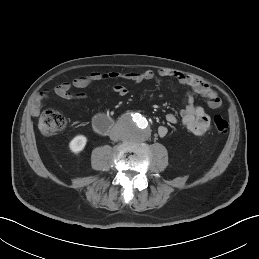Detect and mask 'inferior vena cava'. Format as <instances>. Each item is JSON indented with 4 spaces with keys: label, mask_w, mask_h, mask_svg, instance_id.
Listing matches in <instances>:
<instances>
[{
    "label": "inferior vena cava",
    "mask_w": 259,
    "mask_h": 259,
    "mask_svg": "<svg viewBox=\"0 0 259 259\" xmlns=\"http://www.w3.org/2000/svg\"><path fill=\"white\" fill-rule=\"evenodd\" d=\"M120 134L117 131H112L110 134V138L111 140L117 141L118 139H120Z\"/></svg>",
    "instance_id": "inferior-vena-cava-1"
}]
</instances>
